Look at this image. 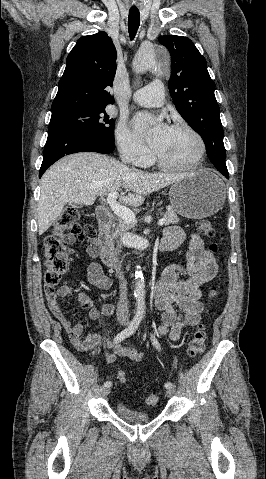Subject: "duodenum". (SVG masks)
<instances>
[{
  "label": "duodenum",
  "instance_id": "obj_1",
  "mask_svg": "<svg viewBox=\"0 0 266 479\" xmlns=\"http://www.w3.org/2000/svg\"><path fill=\"white\" fill-rule=\"evenodd\" d=\"M96 219L100 227V232L96 243L90 247L91 255L100 258L102 262L110 268L119 270L122 267L123 259L113 250L108 236V231L112 224L110 210L105 206L97 207Z\"/></svg>",
  "mask_w": 266,
  "mask_h": 479
}]
</instances>
